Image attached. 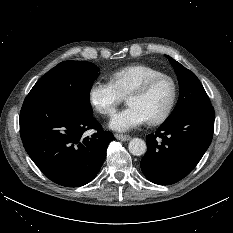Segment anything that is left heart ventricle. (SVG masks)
<instances>
[{"label": "left heart ventricle", "instance_id": "left-heart-ventricle-1", "mask_svg": "<svg viewBox=\"0 0 233 233\" xmlns=\"http://www.w3.org/2000/svg\"><path fill=\"white\" fill-rule=\"evenodd\" d=\"M172 94L169 81L156 83L148 92L128 97L127 103L138 107L147 120L159 116L167 107Z\"/></svg>", "mask_w": 233, "mask_h": 233}]
</instances>
